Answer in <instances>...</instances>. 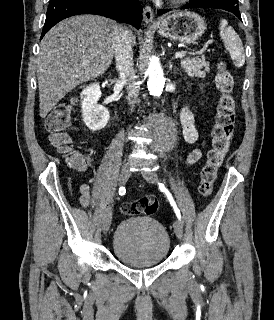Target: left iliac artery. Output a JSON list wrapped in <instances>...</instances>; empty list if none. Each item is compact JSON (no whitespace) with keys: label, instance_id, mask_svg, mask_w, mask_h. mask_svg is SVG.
Listing matches in <instances>:
<instances>
[{"label":"left iliac artery","instance_id":"1","mask_svg":"<svg viewBox=\"0 0 274 320\" xmlns=\"http://www.w3.org/2000/svg\"><path fill=\"white\" fill-rule=\"evenodd\" d=\"M159 188H160L161 191H163L166 194L171 206L173 207V209H174V211L176 213V216L178 217L179 220H181L180 210L177 207V205H176L171 193L168 191L167 188H165V186L162 183H159Z\"/></svg>","mask_w":274,"mask_h":320}]
</instances>
